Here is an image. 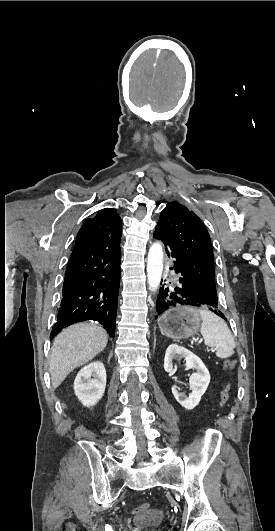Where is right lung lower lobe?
<instances>
[{
	"mask_svg": "<svg viewBox=\"0 0 275 531\" xmlns=\"http://www.w3.org/2000/svg\"><path fill=\"white\" fill-rule=\"evenodd\" d=\"M120 238L102 237L74 247L50 338L73 323L94 320L114 337L120 285Z\"/></svg>",
	"mask_w": 275,
	"mask_h": 531,
	"instance_id": "1",
	"label": "right lung lower lobe"
}]
</instances>
